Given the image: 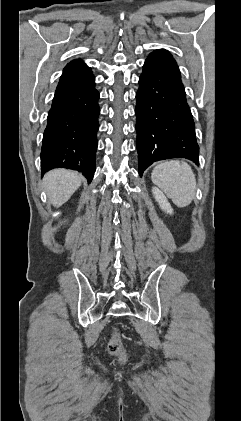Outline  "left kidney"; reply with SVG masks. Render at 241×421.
I'll list each match as a JSON object with an SVG mask.
<instances>
[{"label":"left kidney","mask_w":241,"mask_h":421,"mask_svg":"<svg viewBox=\"0 0 241 421\" xmlns=\"http://www.w3.org/2000/svg\"><path fill=\"white\" fill-rule=\"evenodd\" d=\"M152 193H153V196H154L155 200L158 202L160 208L164 212H166L168 214H172L173 209H172L170 203L168 202L166 196L163 194V192L161 190H159L157 187H153Z\"/></svg>","instance_id":"obj_1"}]
</instances>
